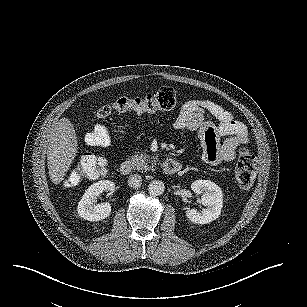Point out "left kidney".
<instances>
[{
    "instance_id": "5707ae66",
    "label": "left kidney",
    "mask_w": 307,
    "mask_h": 307,
    "mask_svg": "<svg viewBox=\"0 0 307 307\" xmlns=\"http://www.w3.org/2000/svg\"><path fill=\"white\" fill-rule=\"evenodd\" d=\"M191 189L202 195L201 203L206 206L202 212L193 208L187 211V217L194 223L206 224L217 219L224 205V196L221 188L211 180H195L191 184Z\"/></svg>"
}]
</instances>
